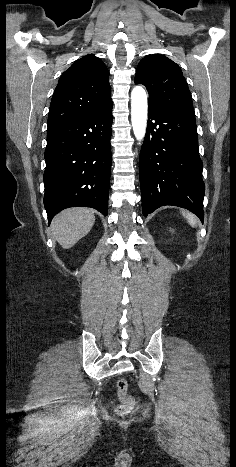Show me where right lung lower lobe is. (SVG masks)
<instances>
[{
    "instance_id": "obj_1",
    "label": "right lung lower lobe",
    "mask_w": 236,
    "mask_h": 467,
    "mask_svg": "<svg viewBox=\"0 0 236 467\" xmlns=\"http://www.w3.org/2000/svg\"><path fill=\"white\" fill-rule=\"evenodd\" d=\"M112 101L47 130L44 206L49 223L61 210L82 206L108 215Z\"/></svg>"
}]
</instances>
